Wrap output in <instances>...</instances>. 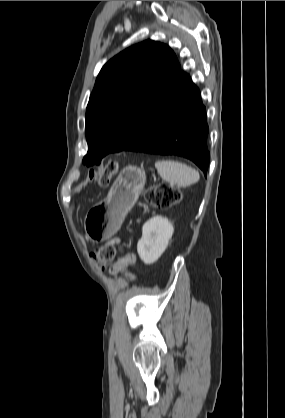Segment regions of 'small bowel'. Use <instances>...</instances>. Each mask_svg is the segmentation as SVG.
<instances>
[{
    "instance_id": "small-bowel-1",
    "label": "small bowel",
    "mask_w": 285,
    "mask_h": 418,
    "mask_svg": "<svg viewBox=\"0 0 285 418\" xmlns=\"http://www.w3.org/2000/svg\"><path fill=\"white\" fill-rule=\"evenodd\" d=\"M123 261H125V258L120 259L118 262H116L114 265H112V266L110 267V271H111L112 273H117V272H119V271L121 270V269H119V265H120ZM131 261L134 263V261H135V257H134Z\"/></svg>"
}]
</instances>
